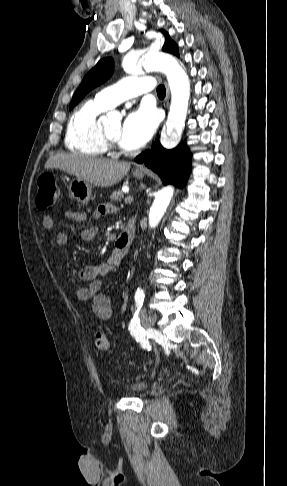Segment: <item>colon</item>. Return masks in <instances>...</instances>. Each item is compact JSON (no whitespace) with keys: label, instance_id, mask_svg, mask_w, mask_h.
<instances>
[{"label":"colon","instance_id":"5ec220e1","mask_svg":"<svg viewBox=\"0 0 287 486\" xmlns=\"http://www.w3.org/2000/svg\"><path fill=\"white\" fill-rule=\"evenodd\" d=\"M59 195L58 186L55 178L51 174H43L37 181L36 206L44 211L53 206ZM95 346L98 350L105 351L109 347L107 336L103 332H97L94 338Z\"/></svg>","mask_w":287,"mask_h":486}]
</instances>
